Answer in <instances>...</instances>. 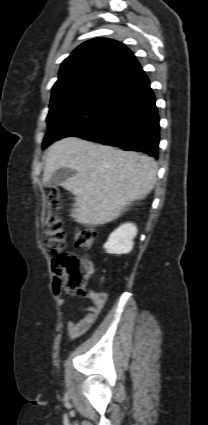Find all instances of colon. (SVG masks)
<instances>
[{
  "instance_id": "obj_1",
  "label": "colon",
  "mask_w": 208,
  "mask_h": 425,
  "mask_svg": "<svg viewBox=\"0 0 208 425\" xmlns=\"http://www.w3.org/2000/svg\"><path fill=\"white\" fill-rule=\"evenodd\" d=\"M59 191L52 189L48 196V211L43 220L44 246L53 256V269L62 280L63 289L75 296L86 295V284L91 264L81 254L65 250V230L58 215ZM97 232L91 227H78L73 233V241L81 250L90 249L97 242Z\"/></svg>"
}]
</instances>
